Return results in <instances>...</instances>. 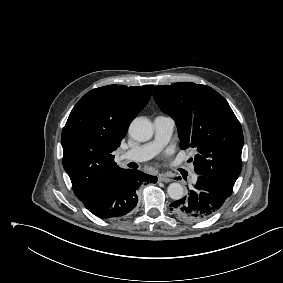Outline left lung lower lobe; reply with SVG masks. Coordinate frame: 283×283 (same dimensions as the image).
Listing matches in <instances>:
<instances>
[{
  "label": "left lung lower lobe",
  "mask_w": 283,
  "mask_h": 283,
  "mask_svg": "<svg viewBox=\"0 0 283 283\" xmlns=\"http://www.w3.org/2000/svg\"><path fill=\"white\" fill-rule=\"evenodd\" d=\"M233 185L217 178L200 175L188 195L170 204L179 218L202 221L213 216L231 195Z\"/></svg>",
  "instance_id": "1"
}]
</instances>
